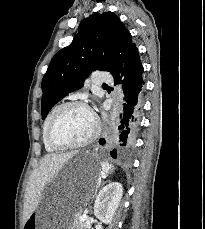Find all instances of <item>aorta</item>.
<instances>
[{"label":"aorta","instance_id":"aorta-1","mask_svg":"<svg viewBox=\"0 0 205 229\" xmlns=\"http://www.w3.org/2000/svg\"><path fill=\"white\" fill-rule=\"evenodd\" d=\"M117 116H118L117 108L114 107L113 112H112V115H111V121H110V124H111L112 126L115 125Z\"/></svg>","mask_w":205,"mask_h":229}]
</instances>
